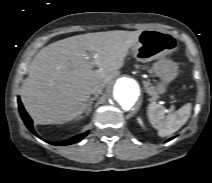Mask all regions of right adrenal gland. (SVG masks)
Segmentation results:
<instances>
[{"label": "right adrenal gland", "instance_id": "1", "mask_svg": "<svg viewBox=\"0 0 212 183\" xmlns=\"http://www.w3.org/2000/svg\"><path fill=\"white\" fill-rule=\"evenodd\" d=\"M98 98L97 95H95L94 97L90 98L88 104H87V108H86V115H89L91 110H92V104H93V101L96 100Z\"/></svg>", "mask_w": 212, "mask_h": 183}]
</instances>
